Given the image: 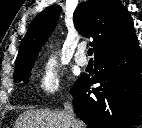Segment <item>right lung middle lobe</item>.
Returning a JSON list of instances; mask_svg holds the SVG:
<instances>
[{
	"label": "right lung middle lobe",
	"mask_w": 142,
	"mask_h": 128,
	"mask_svg": "<svg viewBox=\"0 0 142 128\" xmlns=\"http://www.w3.org/2000/svg\"><path fill=\"white\" fill-rule=\"evenodd\" d=\"M35 60L36 59H32V60L16 65V69L14 71V80L16 82L24 81L25 83H27L29 81L30 72L34 65L33 63ZM78 81L75 83L74 87L76 86Z\"/></svg>",
	"instance_id": "obj_1"
}]
</instances>
